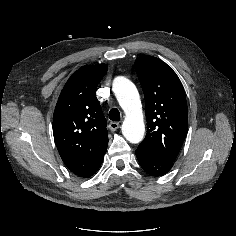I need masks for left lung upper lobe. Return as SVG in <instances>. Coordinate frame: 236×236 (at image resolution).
Returning <instances> with one entry per match:
<instances>
[{"label":"left lung upper lobe","instance_id":"5c2ea615","mask_svg":"<svg viewBox=\"0 0 236 236\" xmlns=\"http://www.w3.org/2000/svg\"><path fill=\"white\" fill-rule=\"evenodd\" d=\"M135 69L145 97L147 133L138 147L174 162L187 135L185 92L176 73L152 56L136 59Z\"/></svg>","mask_w":236,"mask_h":236}]
</instances>
